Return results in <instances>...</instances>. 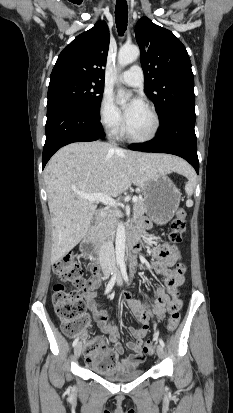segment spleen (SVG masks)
Wrapping results in <instances>:
<instances>
[{
	"instance_id": "spleen-1",
	"label": "spleen",
	"mask_w": 233,
	"mask_h": 413,
	"mask_svg": "<svg viewBox=\"0 0 233 413\" xmlns=\"http://www.w3.org/2000/svg\"><path fill=\"white\" fill-rule=\"evenodd\" d=\"M185 174L189 177V181L185 185V192L188 196H192L193 194V187L195 184V177L192 172L186 171Z\"/></svg>"
}]
</instances>
